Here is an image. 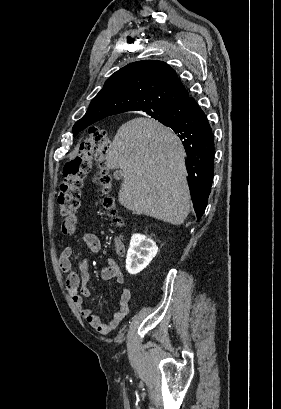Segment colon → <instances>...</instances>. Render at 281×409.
Instances as JSON below:
<instances>
[{
  "mask_svg": "<svg viewBox=\"0 0 281 409\" xmlns=\"http://www.w3.org/2000/svg\"><path fill=\"white\" fill-rule=\"evenodd\" d=\"M111 149V137L107 130L92 128L89 130V136L83 141L79 152L70 158L63 166L62 182L60 191L57 195L59 211L64 222L63 229H71L73 219L80 204V188L82 178L89 166L91 159L98 163L95 182L102 187L104 192L111 186V177L106 170V155ZM105 209L115 213L114 200L106 197L103 200ZM115 221L120 222L119 218Z\"/></svg>",
  "mask_w": 281,
  "mask_h": 409,
  "instance_id": "obj_1",
  "label": "colon"
}]
</instances>
